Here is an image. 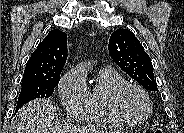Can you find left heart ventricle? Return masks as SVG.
Wrapping results in <instances>:
<instances>
[{
	"label": "left heart ventricle",
	"mask_w": 184,
	"mask_h": 133,
	"mask_svg": "<svg viewBox=\"0 0 184 133\" xmlns=\"http://www.w3.org/2000/svg\"><path fill=\"white\" fill-rule=\"evenodd\" d=\"M124 112L131 118L140 119L147 112V104L142 95L135 91H128L122 99Z\"/></svg>",
	"instance_id": "left-heart-ventricle-1"
}]
</instances>
